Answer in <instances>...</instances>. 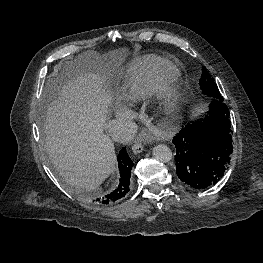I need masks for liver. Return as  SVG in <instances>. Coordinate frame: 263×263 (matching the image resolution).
Segmentation results:
<instances>
[{"label":"liver","mask_w":263,"mask_h":263,"mask_svg":"<svg viewBox=\"0 0 263 263\" xmlns=\"http://www.w3.org/2000/svg\"><path fill=\"white\" fill-rule=\"evenodd\" d=\"M126 54V49L113 50L99 63L85 55L75 76L54 85L44 125L46 150L61 176L78 189H97L115 169L114 144L104 133L112 97L102 88V65L121 63Z\"/></svg>","instance_id":"1"}]
</instances>
